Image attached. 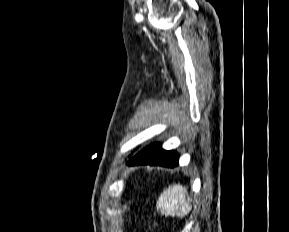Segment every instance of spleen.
<instances>
[{
  "instance_id": "1",
  "label": "spleen",
  "mask_w": 289,
  "mask_h": 232,
  "mask_svg": "<svg viewBox=\"0 0 289 232\" xmlns=\"http://www.w3.org/2000/svg\"><path fill=\"white\" fill-rule=\"evenodd\" d=\"M157 208L165 216H186L192 208L187 188L180 183L170 185L161 193L157 201Z\"/></svg>"
}]
</instances>
